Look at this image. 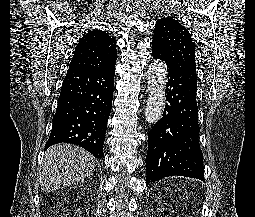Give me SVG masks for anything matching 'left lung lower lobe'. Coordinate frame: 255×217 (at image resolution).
Wrapping results in <instances>:
<instances>
[{
  "mask_svg": "<svg viewBox=\"0 0 255 217\" xmlns=\"http://www.w3.org/2000/svg\"><path fill=\"white\" fill-rule=\"evenodd\" d=\"M152 56L165 61L168 82L163 116L148 134L146 184L173 175L204 181L203 154L198 139L196 74L172 65L155 50Z\"/></svg>",
  "mask_w": 255,
  "mask_h": 217,
  "instance_id": "left-lung-lower-lobe-1",
  "label": "left lung lower lobe"
}]
</instances>
